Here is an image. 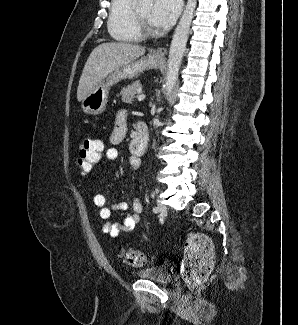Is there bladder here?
I'll list each match as a JSON object with an SVG mask.
<instances>
[{"label": "bladder", "instance_id": "31cf9c89", "mask_svg": "<svg viewBox=\"0 0 298 325\" xmlns=\"http://www.w3.org/2000/svg\"><path fill=\"white\" fill-rule=\"evenodd\" d=\"M137 276L141 279L163 285H168L172 282L171 273L161 266H150L143 268L137 272Z\"/></svg>", "mask_w": 298, "mask_h": 325}]
</instances>
